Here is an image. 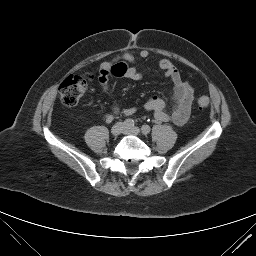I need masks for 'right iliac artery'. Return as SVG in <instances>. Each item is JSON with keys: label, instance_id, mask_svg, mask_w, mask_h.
<instances>
[{"label": "right iliac artery", "instance_id": "right-iliac-artery-1", "mask_svg": "<svg viewBox=\"0 0 256 256\" xmlns=\"http://www.w3.org/2000/svg\"><path fill=\"white\" fill-rule=\"evenodd\" d=\"M124 125H125L126 127H133V126H134V120H132V119H126V120L124 121Z\"/></svg>", "mask_w": 256, "mask_h": 256}]
</instances>
